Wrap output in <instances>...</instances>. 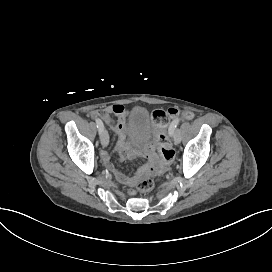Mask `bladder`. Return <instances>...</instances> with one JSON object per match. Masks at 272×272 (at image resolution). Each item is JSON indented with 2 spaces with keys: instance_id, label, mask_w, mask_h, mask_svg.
<instances>
[{
  "instance_id": "bladder-1",
  "label": "bladder",
  "mask_w": 272,
  "mask_h": 272,
  "mask_svg": "<svg viewBox=\"0 0 272 272\" xmlns=\"http://www.w3.org/2000/svg\"><path fill=\"white\" fill-rule=\"evenodd\" d=\"M130 122L133 135L143 136L144 138L148 136L151 118L146 106L133 107L130 114Z\"/></svg>"
}]
</instances>
